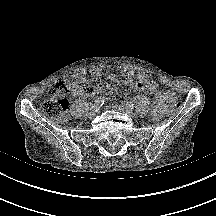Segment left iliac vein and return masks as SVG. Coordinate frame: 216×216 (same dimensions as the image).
I'll list each match as a JSON object with an SVG mask.
<instances>
[{
	"label": "left iliac vein",
	"instance_id": "obj_1",
	"mask_svg": "<svg viewBox=\"0 0 216 216\" xmlns=\"http://www.w3.org/2000/svg\"><path fill=\"white\" fill-rule=\"evenodd\" d=\"M112 107L118 111L125 112L131 116L133 115V111L131 109L127 108L125 105L113 104Z\"/></svg>",
	"mask_w": 216,
	"mask_h": 216
}]
</instances>
